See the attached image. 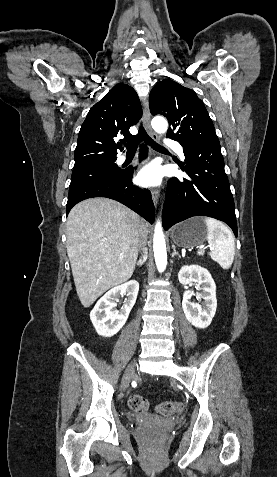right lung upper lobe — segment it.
<instances>
[{
    "mask_svg": "<svg viewBox=\"0 0 277 477\" xmlns=\"http://www.w3.org/2000/svg\"><path fill=\"white\" fill-rule=\"evenodd\" d=\"M141 116L142 108L135 90L123 83L115 85L90 109L81 126L74 168L116 160L118 145L114 138L124 136L123 143L134 138L129 128L136 125Z\"/></svg>",
    "mask_w": 277,
    "mask_h": 477,
    "instance_id": "right-lung-upper-lobe-1",
    "label": "right lung upper lobe"
}]
</instances>
